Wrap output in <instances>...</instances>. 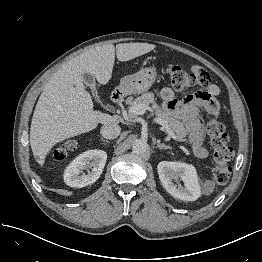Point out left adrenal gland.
Masks as SVG:
<instances>
[{"mask_svg": "<svg viewBox=\"0 0 262 262\" xmlns=\"http://www.w3.org/2000/svg\"><path fill=\"white\" fill-rule=\"evenodd\" d=\"M157 148H159V149H171V147L160 143V141H157Z\"/></svg>", "mask_w": 262, "mask_h": 262, "instance_id": "a2214340", "label": "left adrenal gland"}]
</instances>
